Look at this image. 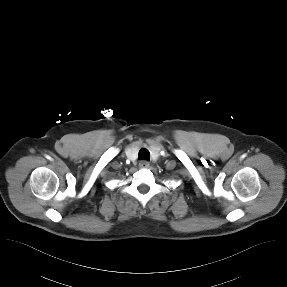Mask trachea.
<instances>
[{
    "label": "trachea",
    "instance_id": "3493384b",
    "mask_svg": "<svg viewBox=\"0 0 287 287\" xmlns=\"http://www.w3.org/2000/svg\"><path fill=\"white\" fill-rule=\"evenodd\" d=\"M138 159L150 160V153L147 149L143 148L139 151Z\"/></svg>",
    "mask_w": 287,
    "mask_h": 287
}]
</instances>
